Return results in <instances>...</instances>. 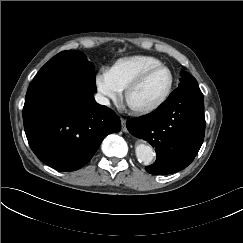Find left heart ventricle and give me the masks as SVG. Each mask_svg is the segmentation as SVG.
I'll use <instances>...</instances> for the list:
<instances>
[{
    "label": "left heart ventricle",
    "mask_w": 243,
    "mask_h": 243,
    "mask_svg": "<svg viewBox=\"0 0 243 243\" xmlns=\"http://www.w3.org/2000/svg\"><path fill=\"white\" fill-rule=\"evenodd\" d=\"M169 73L166 69H158L150 73L143 83L130 95V104L134 107L147 106L157 101L167 89Z\"/></svg>",
    "instance_id": "1"
}]
</instances>
